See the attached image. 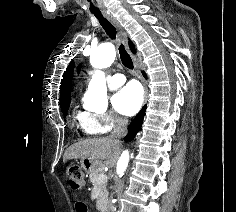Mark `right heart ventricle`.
I'll use <instances>...</instances> for the list:
<instances>
[{"mask_svg": "<svg viewBox=\"0 0 236 212\" xmlns=\"http://www.w3.org/2000/svg\"><path fill=\"white\" fill-rule=\"evenodd\" d=\"M88 112H78L76 114V121H77V126L79 129H81L84 133L88 135H94L98 134L99 131L95 130L94 127H92L89 131L86 130L85 128V123H84V118Z\"/></svg>", "mask_w": 236, "mask_h": 212, "instance_id": "1", "label": "right heart ventricle"}]
</instances>
